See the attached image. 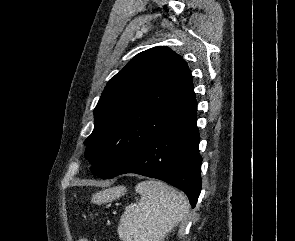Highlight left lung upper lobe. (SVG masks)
Instances as JSON below:
<instances>
[{
	"label": "left lung upper lobe",
	"instance_id": "left-lung-upper-lobe-1",
	"mask_svg": "<svg viewBox=\"0 0 295 241\" xmlns=\"http://www.w3.org/2000/svg\"><path fill=\"white\" fill-rule=\"evenodd\" d=\"M197 109L192 75L174 51L158 46L137 54L107 83L85 140L92 172L109 179L157 135Z\"/></svg>",
	"mask_w": 295,
	"mask_h": 241
}]
</instances>
